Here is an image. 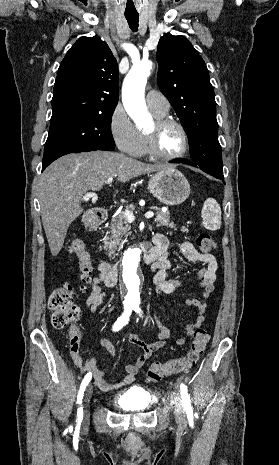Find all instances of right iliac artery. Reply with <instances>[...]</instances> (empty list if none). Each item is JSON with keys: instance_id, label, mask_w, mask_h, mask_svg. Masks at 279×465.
Masks as SVG:
<instances>
[{"instance_id": "right-iliac-artery-1", "label": "right iliac artery", "mask_w": 279, "mask_h": 465, "mask_svg": "<svg viewBox=\"0 0 279 465\" xmlns=\"http://www.w3.org/2000/svg\"><path fill=\"white\" fill-rule=\"evenodd\" d=\"M124 309L125 310H124L123 314L114 323L113 331H119L124 325H126L128 323L129 317H130V315L132 313V310H133V307L132 306H126V307H124ZM91 377H92V374L87 373L86 376L84 377L81 385H80L79 393H78V396H77V403L78 404H81V399L83 398L84 391L86 389V386L90 382ZM77 417H78V422L80 423L82 421V418H83V408L82 407H80L78 409Z\"/></svg>"}]
</instances>
